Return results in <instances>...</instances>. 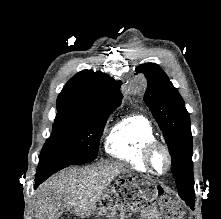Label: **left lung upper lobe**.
I'll list each match as a JSON object with an SVG mask.
<instances>
[{"instance_id":"obj_1","label":"left lung upper lobe","mask_w":221,"mask_h":219,"mask_svg":"<svg viewBox=\"0 0 221 219\" xmlns=\"http://www.w3.org/2000/svg\"><path fill=\"white\" fill-rule=\"evenodd\" d=\"M137 70L145 72L148 77L144 99L168 145L178 193L192 207L195 204V193L189 113L179 92L158 65L147 63Z\"/></svg>"}]
</instances>
